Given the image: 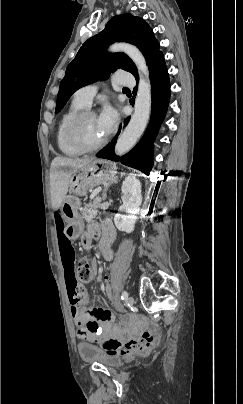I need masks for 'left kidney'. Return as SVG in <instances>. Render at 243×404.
I'll return each instance as SVG.
<instances>
[{"label":"left kidney","mask_w":243,"mask_h":404,"mask_svg":"<svg viewBox=\"0 0 243 404\" xmlns=\"http://www.w3.org/2000/svg\"><path fill=\"white\" fill-rule=\"evenodd\" d=\"M122 206L119 208V212L124 214H116L114 216V222L117 230L120 232H127L131 234L135 228L138 212H140V206L142 204L141 184L139 180H136L135 174H130L122 182Z\"/></svg>","instance_id":"5707ae66"}]
</instances>
